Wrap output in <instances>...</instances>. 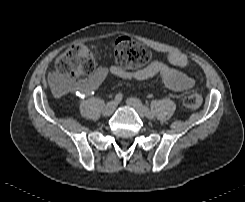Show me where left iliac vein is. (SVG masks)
<instances>
[{"instance_id": "obj_1", "label": "left iliac vein", "mask_w": 245, "mask_h": 202, "mask_svg": "<svg viewBox=\"0 0 245 202\" xmlns=\"http://www.w3.org/2000/svg\"><path fill=\"white\" fill-rule=\"evenodd\" d=\"M127 104L130 107L134 108L141 118H144L146 116L144 111V106L139 99L135 97H130L127 99Z\"/></svg>"}]
</instances>
